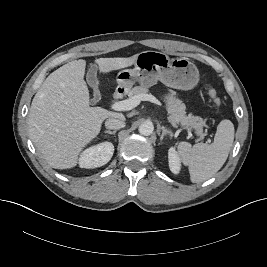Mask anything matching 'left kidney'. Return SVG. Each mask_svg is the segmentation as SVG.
<instances>
[{
    "mask_svg": "<svg viewBox=\"0 0 267 267\" xmlns=\"http://www.w3.org/2000/svg\"><path fill=\"white\" fill-rule=\"evenodd\" d=\"M169 168L172 173L178 174L181 169L180 158L178 157L175 149L171 147L168 152Z\"/></svg>",
    "mask_w": 267,
    "mask_h": 267,
    "instance_id": "1",
    "label": "left kidney"
}]
</instances>
